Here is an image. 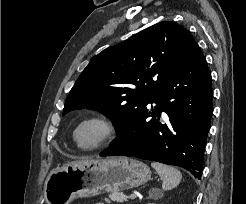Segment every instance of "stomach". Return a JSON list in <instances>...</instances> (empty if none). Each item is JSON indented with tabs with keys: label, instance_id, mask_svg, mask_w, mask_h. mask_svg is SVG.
<instances>
[{
	"label": "stomach",
	"instance_id": "1",
	"mask_svg": "<svg viewBox=\"0 0 246 204\" xmlns=\"http://www.w3.org/2000/svg\"><path fill=\"white\" fill-rule=\"evenodd\" d=\"M150 178V168L132 158L87 159L50 171L43 197L47 204H70L76 198L138 187Z\"/></svg>",
	"mask_w": 246,
	"mask_h": 204
}]
</instances>
